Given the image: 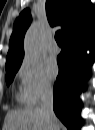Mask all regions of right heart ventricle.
<instances>
[{
  "instance_id": "1",
  "label": "right heart ventricle",
  "mask_w": 95,
  "mask_h": 130,
  "mask_svg": "<svg viewBox=\"0 0 95 130\" xmlns=\"http://www.w3.org/2000/svg\"><path fill=\"white\" fill-rule=\"evenodd\" d=\"M18 100L20 102L28 103L27 99L25 98L24 94L18 96Z\"/></svg>"
}]
</instances>
